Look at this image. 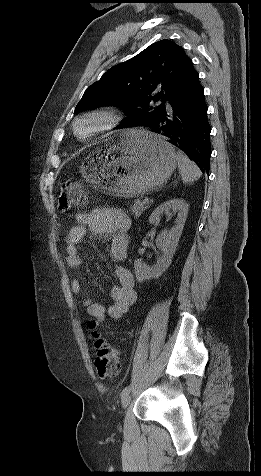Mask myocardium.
Wrapping results in <instances>:
<instances>
[{"instance_id":"1","label":"myocardium","mask_w":261,"mask_h":476,"mask_svg":"<svg viewBox=\"0 0 261 476\" xmlns=\"http://www.w3.org/2000/svg\"><path fill=\"white\" fill-rule=\"evenodd\" d=\"M121 121V115L114 108L99 107L77 116L72 123V132L77 139L87 141L115 128ZM84 125H88L86 131L81 130Z\"/></svg>"}]
</instances>
